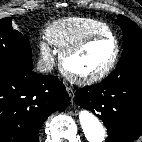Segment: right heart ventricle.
Wrapping results in <instances>:
<instances>
[{
	"label": "right heart ventricle",
	"instance_id": "e07e8e85",
	"mask_svg": "<svg viewBox=\"0 0 142 142\" xmlns=\"http://www.w3.org/2000/svg\"><path fill=\"white\" fill-rule=\"evenodd\" d=\"M111 33V29L104 22L80 17L59 20L46 31L49 42L60 52L91 35Z\"/></svg>",
	"mask_w": 142,
	"mask_h": 142
}]
</instances>
